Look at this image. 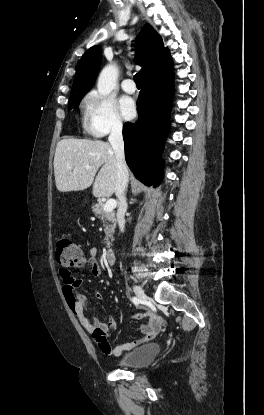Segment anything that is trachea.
Segmentation results:
<instances>
[{
  "label": "trachea",
  "mask_w": 264,
  "mask_h": 415,
  "mask_svg": "<svg viewBox=\"0 0 264 415\" xmlns=\"http://www.w3.org/2000/svg\"><path fill=\"white\" fill-rule=\"evenodd\" d=\"M134 81H135V83H136L137 86H141V76H140L139 73H136L134 75Z\"/></svg>",
  "instance_id": "1"
}]
</instances>
